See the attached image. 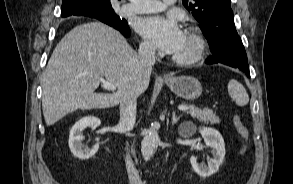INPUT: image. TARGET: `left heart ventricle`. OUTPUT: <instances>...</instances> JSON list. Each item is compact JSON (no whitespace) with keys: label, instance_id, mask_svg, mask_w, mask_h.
<instances>
[{"label":"left heart ventricle","instance_id":"obj_1","mask_svg":"<svg viewBox=\"0 0 293 184\" xmlns=\"http://www.w3.org/2000/svg\"><path fill=\"white\" fill-rule=\"evenodd\" d=\"M195 49L196 43L193 36L185 32L179 48L173 55L177 57H188L194 53Z\"/></svg>","mask_w":293,"mask_h":184}]
</instances>
